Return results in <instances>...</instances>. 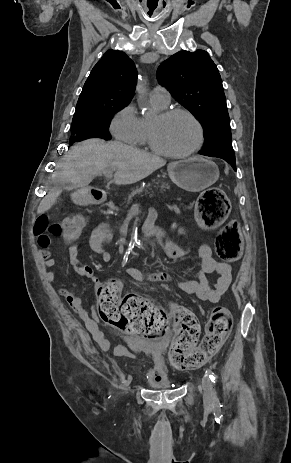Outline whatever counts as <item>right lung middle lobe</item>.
Returning <instances> with one entry per match:
<instances>
[{
  "label": "right lung middle lobe",
  "instance_id": "right-lung-middle-lobe-1",
  "mask_svg": "<svg viewBox=\"0 0 291 463\" xmlns=\"http://www.w3.org/2000/svg\"><path fill=\"white\" fill-rule=\"evenodd\" d=\"M127 104L126 102L107 101L95 111L74 115L69 144L90 138L111 139L108 131L111 119Z\"/></svg>",
  "mask_w": 291,
  "mask_h": 463
}]
</instances>
